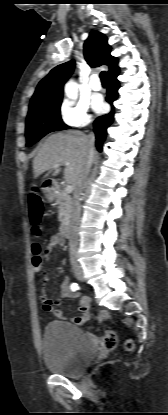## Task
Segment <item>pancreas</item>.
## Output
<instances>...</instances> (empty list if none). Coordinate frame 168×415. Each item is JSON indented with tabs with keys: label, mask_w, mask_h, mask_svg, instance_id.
I'll return each mask as SVG.
<instances>
[{
	"label": "pancreas",
	"mask_w": 168,
	"mask_h": 415,
	"mask_svg": "<svg viewBox=\"0 0 168 415\" xmlns=\"http://www.w3.org/2000/svg\"><path fill=\"white\" fill-rule=\"evenodd\" d=\"M56 204L58 205V219L61 224L66 223L69 220L71 212V197L64 191L61 190L55 196Z\"/></svg>",
	"instance_id": "obj_1"
}]
</instances>
